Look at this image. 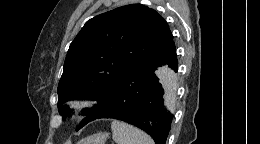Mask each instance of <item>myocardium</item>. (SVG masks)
Instances as JSON below:
<instances>
[{"mask_svg":"<svg viewBox=\"0 0 260 144\" xmlns=\"http://www.w3.org/2000/svg\"><path fill=\"white\" fill-rule=\"evenodd\" d=\"M89 102L83 98H74L68 102L69 114L73 119H81L89 107Z\"/></svg>","mask_w":260,"mask_h":144,"instance_id":"1","label":"myocardium"}]
</instances>
